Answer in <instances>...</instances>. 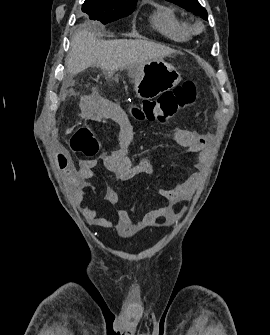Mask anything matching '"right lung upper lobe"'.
Returning <instances> with one entry per match:
<instances>
[{"instance_id": "cb5924a9", "label": "right lung upper lobe", "mask_w": 270, "mask_h": 335, "mask_svg": "<svg viewBox=\"0 0 270 335\" xmlns=\"http://www.w3.org/2000/svg\"><path fill=\"white\" fill-rule=\"evenodd\" d=\"M101 6H116L137 3V0H94Z\"/></svg>"}]
</instances>
